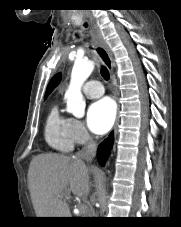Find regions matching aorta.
I'll list each match as a JSON object with an SVG mask.
<instances>
[{
	"instance_id": "762f6f07",
	"label": "aorta",
	"mask_w": 181,
	"mask_h": 227,
	"mask_svg": "<svg viewBox=\"0 0 181 227\" xmlns=\"http://www.w3.org/2000/svg\"><path fill=\"white\" fill-rule=\"evenodd\" d=\"M94 69L89 60H76L72 69L69 87L65 93L67 111L77 118L85 114L86 103L81 88Z\"/></svg>"
}]
</instances>
